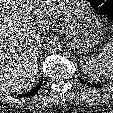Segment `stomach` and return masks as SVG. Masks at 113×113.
I'll use <instances>...</instances> for the list:
<instances>
[{
  "label": "stomach",
  "instance_id": "0dacf381",
  "mask_svg": "<svg viewBox=\"0 0 113 113\" xmlns=\"http://www.w3.org/2000/svg\"><path fill=\"white\" fill-rule=\"evenodd\" d=\"M67 11L60 31L72 40L80 53H88L99 42L103 30L100 22L87 0H66Z\"/></svg>",
  "mask_w": 113,
  "mask_h": 113
}]
</instances>
